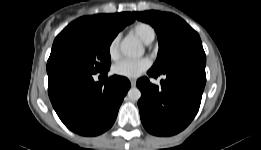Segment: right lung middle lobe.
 I'll list each match as a JSON object with an SVG mask.
<instances>
[{
  "instance_id": "right-lung-middle-lobe-1",
  "label": "right lung middle lobe",
  "mask_w": 261,
  "mask_h": 150,
  "mask_svg": "<svg viewBox=\"0 0 261 150\" xmlns=\"http://www.w3.org/2000/svg\"><path fill=\"white\" fill-rule=\"evenodd\" d=\"M125 26L88 16L71 22L54 40L47 73L108 71L111 65L109 47Z\"/></svg>"
}]
</instances>
